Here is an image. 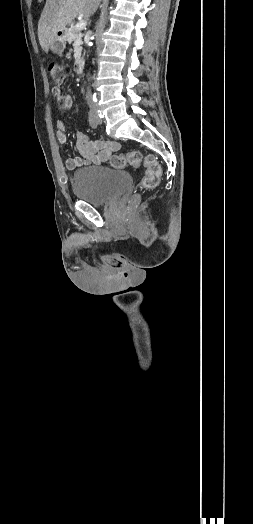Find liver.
<instances>
[{
    "mask_svg": "<svg viewBox=\"0 0 253 524\" xmlns=\"http://www.w3.org/2000/svg\"><path fill=\"white\" fill-rule=\"evenodd\" d=\"M101 0H46L38 22V38L42 49L48 52L59 31H63L77 16L89 18Z\"/></svg>",
    "mask_w": 253,
    "mask_h": 524,
    "instance_id": "6515ba94",
    "label": "liver"
}]
</instances>
